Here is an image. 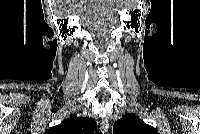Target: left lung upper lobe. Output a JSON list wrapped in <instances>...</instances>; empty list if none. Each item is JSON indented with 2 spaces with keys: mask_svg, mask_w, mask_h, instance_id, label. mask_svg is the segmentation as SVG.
I'll return each instance as SVG.
<instances>
[{
  "mask_svg": "<svg viewBox=\"0 0 200 134\" xmlns=\"http://www.w3.org/2000/svg\"><path fill=\"white\" fill-rule=\"evenodd\" d=\"M114 134H158L156 129L133 114H126L113 126Z\"/></svg>",
  "mask_w": 200,
  "mask_h": 134,
  "instance_id": "1",
  "label": "left lung upper lobe"
}]
</instances>
